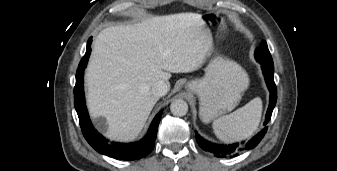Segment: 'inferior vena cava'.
<instances>
[{
    "instance_id": "602c4592",
    "label": "inferior vena cava",
    "mask_w": 337,
    "mask_h": 171,
    "mask_svg": "<svg viewBox=\"0 0 337 171\" xmlns=\"http://www.w3.org/2000/svg\"><path fill=\"white\" fill-rule=\"evenodd\" d=\"M169 85L164 81H158L152 86V93L156 97H162L167 94Z\"/></svg>"
}]
</instances>
